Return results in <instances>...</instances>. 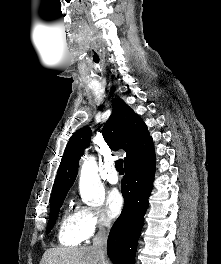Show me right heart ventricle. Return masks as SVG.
Wrapping results in <instances>:
<instances>
[{
  "mask_svg": "<svg viewBox=\"0 0 221 264\" xmlns=\"http://www.w3.org/2000/svg\"><path fill=\"white\" fill-rule=\"evenodd\" d=\"M58 240L64 246H78L84 242L75 212L65 211L58 230Z\"/></svg>",
  "mask_w": 221,
  "mask_h": 264,
  "instance_id": "right-heart-ventricle-1",
  "label": "right heart ventricle"
}]
</instances>
